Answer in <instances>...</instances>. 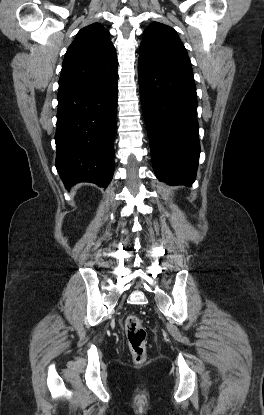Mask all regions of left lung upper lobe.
I'll return each instance as SVG.
<instances>
[{
  "label": "left lung upper lobe",
  "mask_w": 264,
  "mask_h": 415,
  "mask_svg": "<svg viewBox=\"0 0 264 415\" xmlns=\"http://www.w3.org/2000/svg\"><path fill=\"white\" fill-rule=\"evenodd\" d=\"M143 34L138 60L163 69L193 74L187 51L173 28L153 22Z\"/></svg>",
  "instance_id": "1"
}]
</instances>
